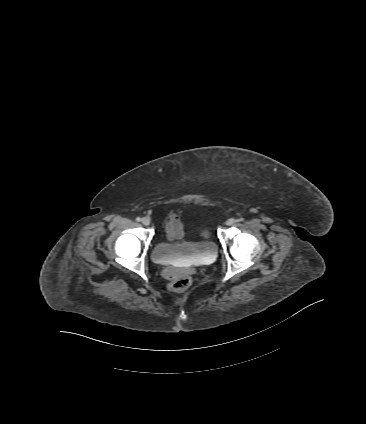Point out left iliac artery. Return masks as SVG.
I'll list each match as a JSON object with an SVG mask.
<instances>
[{"instance_id": "left-iliac-artery-1", "label": "left iliac artery", "mask_w": 366, "mask_h": 424, "mask_svg": "<svg viewBox=\"0 0 366 424\" xmlns=\"http://www.w3.org/2000/svg\"><path fill=\"white\" fill-rule=\"evenodd\" d=\"M244 219L243 218H239L237 221L242 222Z\"/></svg>"}]
</instances>
